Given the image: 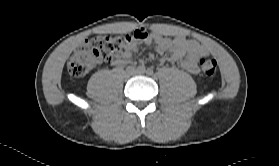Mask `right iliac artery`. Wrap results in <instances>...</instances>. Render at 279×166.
<instances>
[{
	"label": "right iliac artery",
	"instance_id": "82829eb1",
	"mask_svg": "<svg viewBox=\"0 0 279 166\" xmlns=\"http://www.w3.org/2000/svg\"><path fill=\"white\" fill-rule=\"evenodd\" d=\"M138 71H140V72H144L145 71L144 64L138 66Z\"/></svg>",
	"mask_w": 279,
	"mask_h": 166
}]
</instances>
